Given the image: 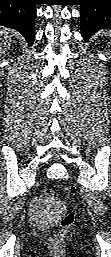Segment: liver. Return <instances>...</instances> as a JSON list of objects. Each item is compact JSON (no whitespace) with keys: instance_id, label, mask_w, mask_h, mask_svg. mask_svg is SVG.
<instances>
[{"instance_id":"6515ba94","label":"liver","mask_w":111,"mask_h":257,"mask_svg":"<svg viewBox=\"0 0 111 257\" xmlns=\"http://www.w3.org/2000/svg\"><path fill=\"white\" fill-rule=\"evenodd\" d=\"M11 37H12L11 31H7L6 29H1L0 45H1L2 52H5V50L10 47L12 42Z\"/></svg>"}]
</instances>
